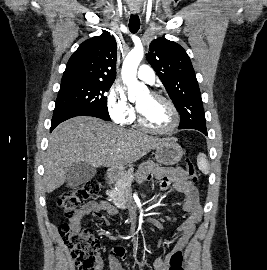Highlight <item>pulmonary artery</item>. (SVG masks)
Returning a JSON list of instances; mask_svg holds the SVG:
<instances>
[{"label":"pulmonary artery","mask_w":267,"mask_h":270,"mask_svg":"<svg viewBox=\"0 0 267 270\" xmlns=\"http://www.w3.org/2000/svg\"><path fill=\"white\" fill-rule=\"evenodd\" d=\"M137 76L140 80L153 84L155 82V73L148 65H141L138 69Z\"/></svg>","instance_id":"e3ab8cb5"}]
</instances>
